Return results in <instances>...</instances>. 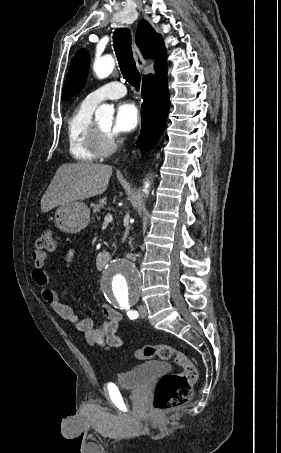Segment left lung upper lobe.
Here are the masks:
<instances>
[{"instance_id": "left-lung-upper-lobe-1", "label": "left lung upper lobe", "mask_w": 281, "mask_h": 453, "mask_svg": "<svg viewBox=\"0 0 281 453\" xmlns=\"http://www.w3.org/2000/svg\"><path fill=\"white\" fill-rule=\"evenodd\" d=\"M89 69V53L80 49L74 55L66 82L63 87L62 100H68L79 93L85 86Z\"/></svg>"}]
</instances>
